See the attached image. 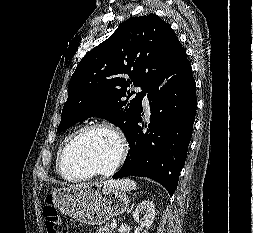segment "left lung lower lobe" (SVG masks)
<instances>
[{"label":"left lung lower lobe","mask_w":253,"mask_h":233,"mask_svg":"<svg viewBox=\"0 0 253 233\" xmlns=\"http://www.w3.org/2000/svg\"><path fill=\"white\" fill-rule=\"evenodd\" d=\"M195 90L191 65L178 43L163 75L147 89L150 123L139 124L144 116L141 106L126 136L128 155L113 178L148 177L173 195L192 135L197 106Z\"/></svg>","instance_id":"0a47b994"}]
</instances>
